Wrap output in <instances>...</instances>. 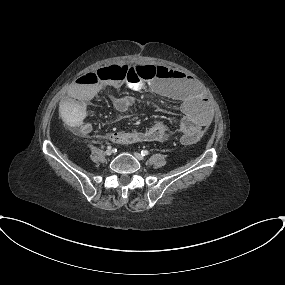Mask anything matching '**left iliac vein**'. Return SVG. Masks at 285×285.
Returning a JSON list of instances; mask_svg holds the SVG:
<instances>
[{"instance_id": "obj_1", "label": "left iliac vein", "mask_w": 285, "mask_h": 285, "mask_svg": "<svg viewBox=\"0 0 285 285\" xmlns=\"http://www.w3.org/2000/svg\"><path fill=\"white\" fill-rule=\"evenodd\" d=\"M133 154H134L136 159H138L140 161L144 160V157L140 153L134 152Z\"/></svg>"}]
</instances>
